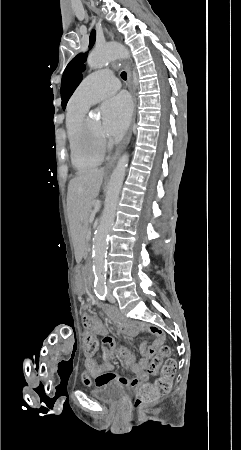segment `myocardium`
<instances>
[{"mask_svg":"<svg viewBox=\"0 0 241 450\" xmlns=\"http://www.w3.org/2000/svg\"><path fill=\"white\" fill-rule=\"evenodd\" d=\"M87 122V119L84 118L77 126H76V133L79 136H76L74 138V141L76 143H79V148L76 149L77 153H87V157H93V153H95V157H103V152H100V149H103L102 139L99 135L98 129H88L85 127ZM92 133H95L97 135V138L95 140H92L90 138V135ZM93 143H95L93 145ZM87 147V148H86Z\"/></svg>","mask_w":241,"mask_h":450,"instance_id":"obj_1","label":"myocardium"}]
</instances>
